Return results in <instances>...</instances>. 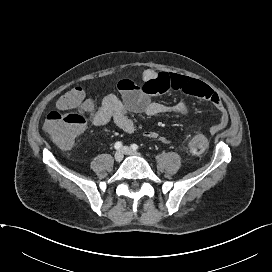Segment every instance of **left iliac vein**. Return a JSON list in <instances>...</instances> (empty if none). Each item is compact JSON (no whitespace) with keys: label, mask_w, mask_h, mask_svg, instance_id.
<instances>
[{"label":"left iliac vein","mask_w":272,"mask_h":272,"mask_svg":"<svg viewBox=\"0 0 272 272\" xmlns=\"http://www.w3.org/2000/svg\"><path fill=\"white\" fill-rule=\"evenodd\" d=\"M122 152L126 155H131V156H140V154L134 150H132L130 147L128 146H124L122 149Z\"/></svg>","instance_id":"4c4485c4"}]
</instances>
